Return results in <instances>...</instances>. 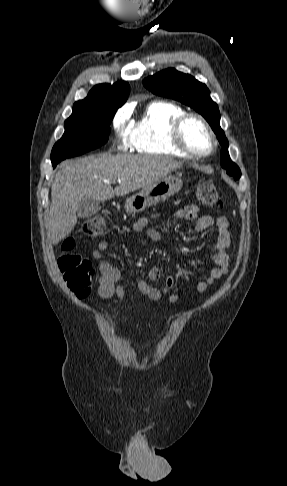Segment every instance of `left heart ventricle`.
I'll list each match as a JSON object with an SVG mask.
<instances>
[{
	"mask_svg": "<svg viewBox=\"0 0 287 486\" xmlns=\"http://www.w3.org/2000/svg\"><path fill=\"white\" fill-rule=\"evenodd\" d=\"M186 145L196 152H206L211 147V139L197 120H190L183 130Z\"/></svg>",
	"mask_w": 287,
	"mask_h": 486,
	"instance_id": "b2bd125f",
	"label": "left heart ventricle"
}]
</instances>
